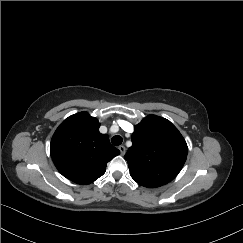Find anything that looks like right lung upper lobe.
<instances>
[{
    "mask_svg": "<svg viewBox=\"0 0 243 243\" xmlns=\"http://www.w3.org/2000/svg\"><path fill=\"white\" fill-rule=\"evenodd\" d=\"M100 123L87 112L65 119L55 131L50 154L58 171L77 184H90L106 171L107 163L120 154Z\"/></svg>",
    "mask_w": 243,
    "mask_h": 243,
    "instance_id": "1",
    "label": "right lung upper lobe"
}]
</instances>
